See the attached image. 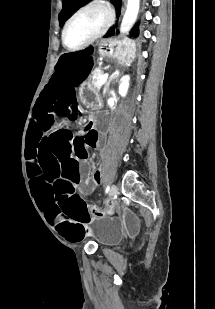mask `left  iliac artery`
<instances>
[{"mask_svg": "<svg viewBox=\"0 0 215 309\" xmlns=\"http://www.w3.org/2000/svg\"><path fill=\"white\" fill-rule=\"evenodd\" d=\"M109 190H110V186L107 185V186H106V189H105V193L107 194V193L109 192Z\"/></svg>", "mask_w": 215, "mask_h": 309, "instance_id": "44dca946", "label": "left iliac artery"}]
</instances>
